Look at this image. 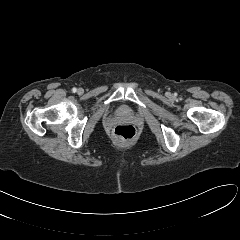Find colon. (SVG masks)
<instances>
[{"mask_svg": "<svg viewBox=\"0 0 240 240\" xmlns=\"http://www.w3.org/2000/svg\"><path fill=\"white\" fill-rule=\"evenodd\" d=\"M113 134L123 140H130L136 134V129L130 124H119L113 129Z\"/></svg>", "mask_w": 240, "mask_h": 240, "instance_id": "colon-1", "label": "colon"}]
</instances>
